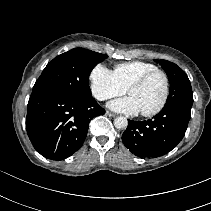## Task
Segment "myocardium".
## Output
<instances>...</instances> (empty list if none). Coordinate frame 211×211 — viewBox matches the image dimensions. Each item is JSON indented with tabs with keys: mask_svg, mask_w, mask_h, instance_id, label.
<instances>
[{
	"mask_svg": "<svg viewBox=\"0 0 211 211\" xmlns=\"http://www.w3.org/2000/svg\"><path fill=\"white\" fill-rule=\"evenodd\" d=\"M162 75L165 81V92H164V96L160 102V104L154 108L151 111H147V112H140V114L144 117H152L155 116L157 114H159L165 107V105L167 104L169 95H170V79L168 74L160 69H156L150 72L145 73L144 75H142L141 77H139L138 79H136L134 82H132L129 87L127 88V93L130 94V92L133 89L139 88L141 86H143L151 77H153L154 75Z\"/></svg>",
	"mask_w": 211,
	"mask_h": 211,
	"instance_id": "myocardium-1",
	"label": "myocardium"
}]
</instances>
